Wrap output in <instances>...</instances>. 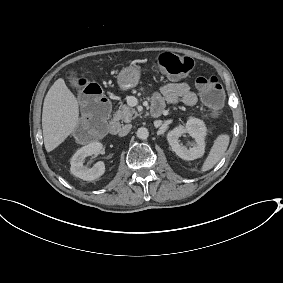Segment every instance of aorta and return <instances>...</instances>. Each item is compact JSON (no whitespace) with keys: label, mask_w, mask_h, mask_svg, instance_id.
Listing matches in <instances>:
<instances>
[{"label":"aorta","mask_w":283,"mask_h":283,"mask_svg":"<svg viewBox=\"0 0 283 283\" xmlns=\"http://www.w3.org/2000/svg\"><path fill=\"white\" fill-rule=\"evenodd\" d=\"M136 135L139 139L145 140L149 136V131L145 127H140V128H138Z\"/></svg>","instance_id":"obj_1"}]
</instances>
